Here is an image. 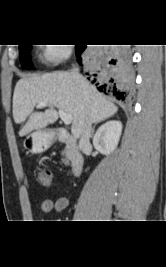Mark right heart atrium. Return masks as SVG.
I'll list each match as a JSON object with an SVG mask.
<instances>
[{"label": "right heart atrium", "mask_w": 166, "mask_h": 267, "mask_svg": "<svg viewBox=\"0 0 166 267\" xmlns=\"http://www.w3.org/2000/svg\"><path fill=\"white\" fill-rule=\"evenodd\" d=\"M70 53L69 46L47 43L42 48V56L48 63L56 64Z\"/></svg>", "instance_id": "d8ad5b80"}]
</instances>
